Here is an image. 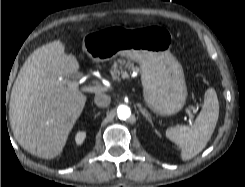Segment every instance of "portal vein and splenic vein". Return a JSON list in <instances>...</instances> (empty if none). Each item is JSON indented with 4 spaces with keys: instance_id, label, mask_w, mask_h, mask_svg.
<instances>
[{
    "instance_id": "obj_1",
    "label": "portal vein and splenic vein",
    "mask_w": 245,
    "mask_h": 187,
    "mask_svg": "<svg viewBox=\"0 0 245 187\" xmlns=\"http://www.w3.org/2000/svg\"><path fill=\"white\" fill-rule=\"evenodd\" d=\"M127 77H128V74H125V78H127ZM58 82H63L64 84H67V86L73 90H79V82H77V81L63 80V79L59 78ZM97 89H98L97 87L84 86L81 88V91L90 92V91L97 90ZM186 113L189 116L188 121L191 124L192 119H193V114H192L191 110H189V109H186Z\"/></svg>"
}]
</instances>
